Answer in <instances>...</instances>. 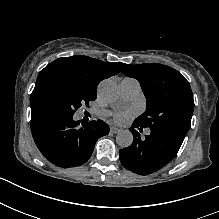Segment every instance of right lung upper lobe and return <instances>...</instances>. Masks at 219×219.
<instances>
[{
	"label": "right lung upper lobe",
	"instance_id": "obj_1",
	"mask_svg": "<svg viewBox=\"0 0 219 219\" xmlns=\"http://www.w3.org/2000/svg\"><path fill=\"white\" fill-rule=\"evenodd\" d=\"M125 66L123 63L103 62L88 56L76 55L58 58L41 72L58 69L79 78L88 88L95 91L104 79L118 74Z\"/></svg>",
	"mask_w": 219,
	"mask_h": 219
}]
</instances>
